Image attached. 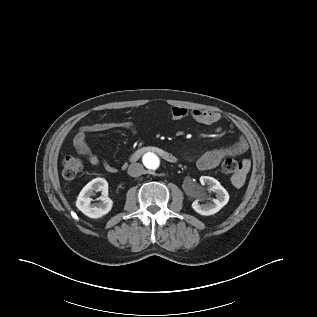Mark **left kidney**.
Returning <instances> with one entry per match:
<instances>
[{"mask_svg":"<svg viewBox=\"0 0 317 317\" xmlns=\"http://www.w3.org/2000/svg\"><path fill=\"white\" fill-rule=\"evenodd\" d=\"M201 185H207L208 189L216 193V199H213L212 202H206L204 204H199L201 199H196L192 203V208L197 213L209 216L217 213L224 207L229 201V194L224 189V187L217 181L215 178L210 176H201L200 177Z\"/></svg>","mask_w":317,"mask_h":317,"instance_id":"obj_1","label":"left kidney"}]
</instances>
